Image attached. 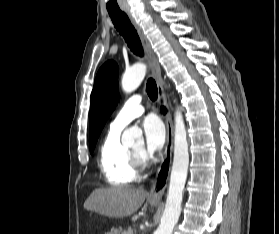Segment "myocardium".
I'll list each match as a JSON object with an SVG mask.
<instances>
[{"instance_id": "myocardium-1", "label": "myocardium", "mask_w": 279, "mask_h": 234, "mask_svg": "<svg viewBox=\"0 0 279 234\" xmlns=\"http://www.w3.org/2000/svg\"><path fill=\"white\" fill-rule=\"evenodd\" d=\"M132 153V157H133V161L134 164L137 168V171L139 169L144 168L145 164H146V157L143 151L139 152V151H135V150H131Z\"/></svg>"}]
</instances>
